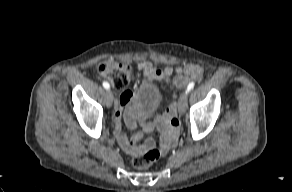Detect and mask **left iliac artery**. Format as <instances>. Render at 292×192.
Segmentation results:
<instances>
[{
  "mask_svg": "<svg viewBox=\"0 0 292 192\" xmlns=\"http://www.w3.org/2000/svg\"><path fill=\"white\" fill-rule=\"evenodd\" d=\"M194 82L189 83L186 89V93H189L194 88Z\"/></svg>",
  "mask_w": 292,
  "mask_h": 192,
  "instance_id": "left-iliac-artery-1",
  "label": "left iliac artery"
}]
</instances>
